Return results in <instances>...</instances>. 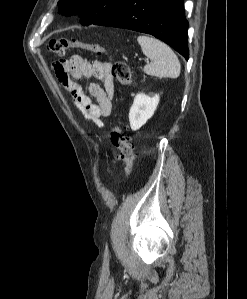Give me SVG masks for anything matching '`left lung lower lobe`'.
<instances>
[{"instance_id": "1", "label": "left lung lower lobe", "mask_w": 247, "mask_h": 299, "mask_svg": "<svg viewBox=\"0 0 247 299\" xmlns=\"http://www.w3.org/2000/svg\"><path fill=\"white\" fill-rule=\"evenodd\" d=\"M93 24L151 34L188 59L183 0H121Z\"/></svg>"}]
</instances>
